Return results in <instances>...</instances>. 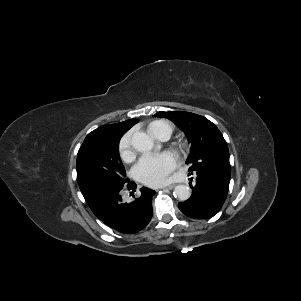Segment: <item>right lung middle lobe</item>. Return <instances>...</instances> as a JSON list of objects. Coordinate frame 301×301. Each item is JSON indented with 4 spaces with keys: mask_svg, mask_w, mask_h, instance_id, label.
Listing matches in <instances>:
<instances>
[{
    "mask_svg": "<svg viewBox=\"0 0 301 301\" xmlns=\"http://www.w3.org/2000/svg\"><path fill=\"white\" fill-rule=\"evenodd\" d=\"M76 168L77 182L92 211L105 192L129 181L119 156V140L101 135L85 138L77 154Z\"/></svg>",
    "mask_w": 301,
    "mask_h": 301,
    "instance_id": "right-lung-middle-lobe-1",
    "label": "right lung middle lobe"
}]
</instances>
